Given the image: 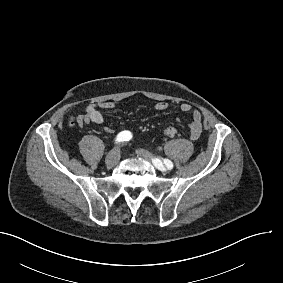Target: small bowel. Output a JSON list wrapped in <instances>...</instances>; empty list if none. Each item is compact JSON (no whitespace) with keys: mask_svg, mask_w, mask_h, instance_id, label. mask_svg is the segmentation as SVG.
<instances>
[{"mask_svg":"<svg viewBox=\"0 0 283 283\" xmlns=\"http://www.w3.org/2000/svg\"><path fill=\"white\" fill-rule=\"evenodd\" d=\"M115 103L111 101L89 103L85 106L83 114H80L77 121L80 125L88 123L102 124L105 121L102 110H113ZM154 109L158 113H163L168 109V105L165 102L159 101L155 103ZM179 109L182 113H191V122L189 124L190 138L193 141L199 139L202 132V114L199 110H193L189 103L183 102L180 104ZM108 132H112L111 128H107ZM166 134V133H165Z\"/></svg>","mask_w":283,"mask_h":283,"instance_id":"1","label":"small bowel"}]
</instances>
